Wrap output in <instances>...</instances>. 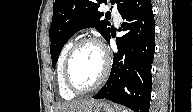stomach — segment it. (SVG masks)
<instances>
[{
  "instance_id": "1",
  "label": "stomach",
  "mask_w": 193,
  "mask_h": 112,
  "mask_svg": "<svg viewBox=\"0 0 193 112\" xmlns=\"http://www.w3.org/2000/svg\"><path fill=\"white\" fill-rule=\"evenodd\" d=\"M84 112H115V111L106 102L97 100L88 110Z\"/></svg>"
}]
</instances>
